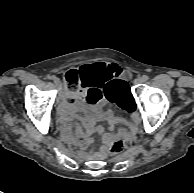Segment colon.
Segmentation results:
<instances>
[{
  "label": "colon",
  "instance_id": "obj_1",
  "mask_svg": "<svg viewBox=\"0 0 194 193\" xmlns=\"http://www.w3.org/2000/svg\"><path fill=\"white\" fill-rule=\"evenodd\" d=\"M63 79L66 83V88L68 92L75 93L81 87L80 73L76 70L67 71ZM126 87L125 82L122 80H116L109 83L106 87V96L109 100H114V92L122 90ZM125 149V142L123 139L119 138L113 141L109 147L110 154H120Z\"/></svg>",
  "mask_w": 194,
  "mask_h": 193
}]
</instances>
